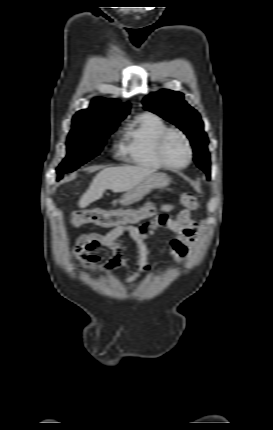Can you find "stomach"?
<instances>
[{"label":"stomach","mask_w":273,"mask_h":430,"mask_svg":"<svg viewBox=\"0 0 273 430\" xmlns=\"http://www.w3.org/2000/svg\"><path fill=\"white\" fill-rule=\"evenodd\" d=\"M169 184V178L164 173L153 172L143 181L133 187L130 191L122 196V202L125 205L141 200L151 190L166 187Z\"/></svg>","instance_id":"1"}]
</instances>
